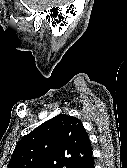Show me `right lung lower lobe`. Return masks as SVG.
<instances>
[{"instance_id":"right-lung-lower-lobe-1","label":"right lung lower lobe","mask_w":127,"mask_h":168,"mask_svg":"<svg viewBox=\"0 0 127 168\" xmlns=\"http://www.w3.org/2000/svg\"><path fill=\"white\" fill-rule=\"evenodd\" d=\"M75 168H94L93 157L91 156L87 160L75 166Z\"/></svg>"}]
</instances>
